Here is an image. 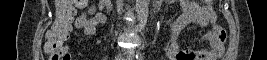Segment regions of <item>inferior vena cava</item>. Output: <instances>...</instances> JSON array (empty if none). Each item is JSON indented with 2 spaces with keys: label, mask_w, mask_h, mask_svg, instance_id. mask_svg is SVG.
<instances>
[{
  "label": "inferior vena cava",
  "mask_w": 267,
  "mask_h": 60,
  "mask_svg": "<svg viewBox=\"0 0 267 60\" xmlns=\"http://www.w3.org/2000/svg\"><path fill=\"white\" fill-rule=\"evenodd\" d=\"M119 2H123V0H119ZM120 10V9H119Z\"/></svg>",
  "instance_id": "1"
}]
</instances>
